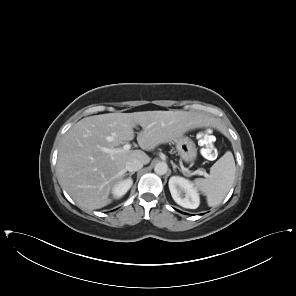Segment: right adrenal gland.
I'll list each match as a JSON object with an SVG mask.
<instances>
[{
  "mask_svg": "<svg viewBox=\"0 0 296 296\" xmlns=\"http://www.w3.org/2000/svg\"><path fill=\"white\" fill-rule=\"evenodd\" d=\"M135 174V172H130V173H126L125 176H128L129 175V178H131V176Z\"/></svg>",
  "mask_w": 296,
  "mask_h": 296,
  "instance_id": "right-adrenal-gland-1",
  "label": "right adrenal gland"
}]
</instances>
